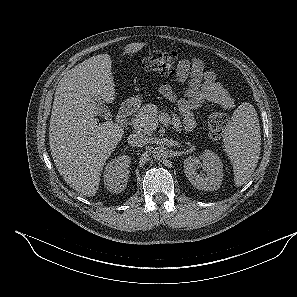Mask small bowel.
<instances>
[{"label": "small bowel", "mask_w": 297, "mask_h": 297, "mask_svg": "<svg viewBox=\"0 0 297 297\" xmlns=\"http://www.w3.org/2000/svg\"><path fill=\"white\" fill-rule=\"evenodd\" d=\"M175 81L179 84H187L183 96L178 95L168 83H163L159 92L165 99L177 104L186 130L195 126L194 111L203 105L219 106L225 110H231L235 106L229 92L217 81L214 72L207 69L199 58L180 59L176 68Z\"/></svg>", "instance_id": "1"}]
</instances>
